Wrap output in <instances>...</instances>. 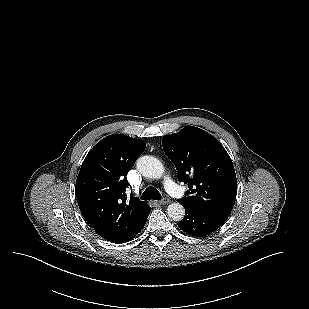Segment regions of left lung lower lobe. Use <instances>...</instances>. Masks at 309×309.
I'll use <instances>...</instances> for the list:
<instances>
[{
	"label": "left lung lower lobe",
	"mask_w": 309,
	"mask_h": 309,
	"mask_svg": "<svg viewBox=\"0 0 309 309\" xmlns=\"http://www.w3.org/2000/svg\"><path fill=\"white\" fill-rule=\"evenodd\" d=\"M185 207L186 216L178 223L181 230L189 235L200 237L217 230L225 221L201 209Z\"/></svg>",
	"instance_id": "left-lung-lower-lobe-1"
}]
</instances>
